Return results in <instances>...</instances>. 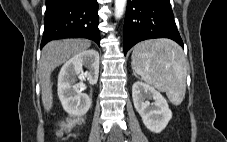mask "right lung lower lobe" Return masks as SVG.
I'll list each match as a JSON object with an SVG mask.
<instances>
[{"label": "right lung lower lobe", "mask_w": 227, "mask_h": 142, "mask_svg": "<svg viewBox=\"0 0 227 142\" xmlns=\"http://www.w3.org/2000/svg\"><path fill=\"white\" fill-rule=\"evenodd\" d=\"M97 0H46L41 48L58 38L82 37L100 43Z\"/></svg>", "instance_id": "right-lung-lower-lobe-1"}]
</instances>
